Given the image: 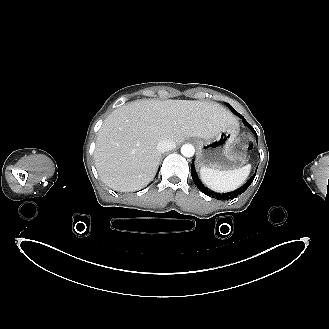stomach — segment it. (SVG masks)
Masks as SVG:
<instances>
[{"label":"stomach","mask_w":329,"mask_h":329,"mask_svg":"<svg viewBox=\"0 0 329 329\" xmlns=\"http://www.w3.org/2000/svg\"><path fill=\"white\" fill-rule=\"evenodd\" d=\"M238 135L239 124L236 123L211 139L198 141L199 151L195 161L196 165L217 171L242 168L248 159Z\"/></svg>","instance_id":"stomach-1"}]
</instances>
